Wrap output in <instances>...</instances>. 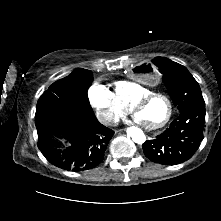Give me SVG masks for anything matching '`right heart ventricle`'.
I'll use <instances>...</instances> for the list:
<instances>
[{"label": "right heart ventricle", "mask_w": 221, "mask_h": 221, "mask_svg": "<svg viewBox=\"0 0 221 221\" xmlns=\"http://www.w3.org/2000/svg\"><path fill=\"white\" fill-rule=\"evenodd\" d=\"M114 91L117 99L126 108L131 107L133 102L141 96L152 92L149 88L132 80H121L115 82Z\"/></svg>", "instance_id": "e07e8e85"}]
</instances>
